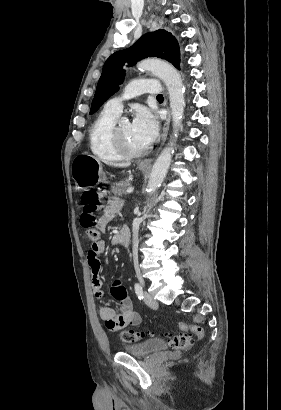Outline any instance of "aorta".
Returning a JSON list of instances; mask_svg holds the SVG:
<instances>
[{
  "label": "aorta",
  "mask_w": 281,
  "mask_h": 410,
  "mask_svg": "<svg viewBox=\"0 0 281 410\" xmlns=\"http://www.w3.org/2000/svg\"><path fill=\"white\" fill-rule=\"evenodd\" d=\"M137 67L140 70L152 72L165 83L169 92L173 132L176 136L185 108L184 87L179 73L172 65L157 59L143 60ZM173 150L174 140H171L156 159L147 186L149 195H152L164 181L172 160Z\"/></svg>",
  "instance_id": "obj_1"
}]
</instances>
